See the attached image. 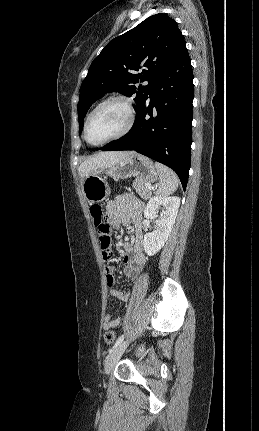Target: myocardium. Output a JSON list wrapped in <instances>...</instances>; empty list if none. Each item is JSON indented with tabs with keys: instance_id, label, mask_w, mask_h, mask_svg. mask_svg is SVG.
<instances>
[{
	"instance_id": "myocardium-1",
	"label": "myocardium",
	"mask_w": 259,
	"mask_h": 431,
	"mask_svg": "<svg viewBox=\"0 0 259 431\" xmlns=\"http://www.w3.org/2000/svg\"><path fill=\"white\" fill-rule=\"evenodd\" d=\"M113 101H117L120 102L126 109L127 112V122L126 125L124 126V128L117 133L116 135L100 142V143H93L89 140L88 137V126L90 123L91 118L93 117V115L97 112V110H99L102 106H104L107 103L113 102ZM135 119H136V115H135V110H134V106H133V102L131 100L130 97L123 95V94H114V95H110L108 97H106L105 99H103L102 101H100L93 109L92 111L88 114L85 124H84V129H83V135H84V139L85 141L92 146H102L105 145L107 143H110L112 141H115L117 139H120L124 136H126L133 128L134 124H135Z\"/></svg>"
}]
</instances>
